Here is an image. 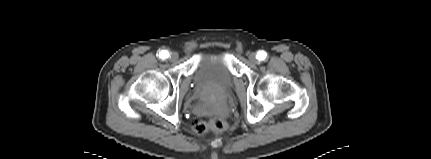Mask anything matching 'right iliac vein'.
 <instances>
[{"label": "right iliac vein", "mask_w": 431, "mask_h": 159, "mask_svg": "<svg viewBox=\"0 0 431 159\" xmlns=\"http://www.w3.org/2000/svg\"><path fill=\"white\" fill-rule=\"evenodd\" d=\"M178 59V54L176 52H173L170 54V60L176 61Z\"/></svg>", "instance_id": "1"}]
</instances>
